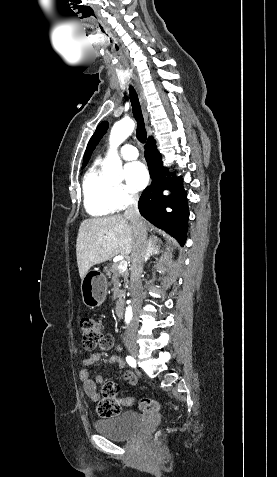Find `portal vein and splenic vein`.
Returning a JSON list of instances; mask_svg holds the SVG:
<instances>
[{"mask_svg": "<svg viewBox=\"0 0 277 477\" xmlns=\"http://www.w3.org/2000/svg\"><path fill=\"white\" fill-rule=\"evenodd\" d=\"M127 266H128L127 261L122 260L118 264V269L124 272L127 270Z\"/></svg>", "mask_w": 277, "mask_h": 477, "instance_id": "18ae733b", "label": "portal vein and splenic vein"}]
</instances>
